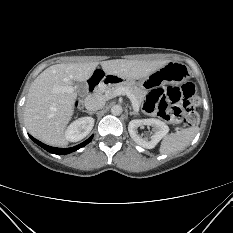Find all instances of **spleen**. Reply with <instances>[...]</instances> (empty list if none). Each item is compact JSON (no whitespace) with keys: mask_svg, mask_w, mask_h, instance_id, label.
I'll use <instances>...</instances> for the list:
<instances>
[{"mask_svg":"<svg viewBox=\"0 0 233 233\" xmlns=\"http://www.w3.org/2000/svg\"><path fill=\"white\" fill-rule=\"evenodd\" d=\"M197 126L182 129L164 137L160 145L161 154H171L184 150L198 133Z\"/></svg>","mask_w":233,"mask_h":233,"instance_id":"1","label":"spleen"}]
</instances>
